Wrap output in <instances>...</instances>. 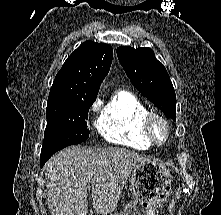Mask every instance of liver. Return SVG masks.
I'll return each mask as SVG.
<instances>
[{
	"mask_svg": "<svg viewBox=\"0 0 221 215\" xmlns=\"http://www.w3.org/2000/svg\"><path fill=\"white\" fill-rule=\"evenodd\" d=\"M148 161L122 148L72 146L60 151L44 167L53 214L87 215L89 184L94 210L98 214L113 211L131 171Z\"/></svg>",
	"mask_w": 221,
	"mask_h": 215,
	"instance_id": "obj_1",
	"label": "liver"
}]
</instances>
